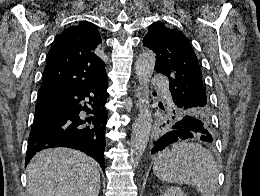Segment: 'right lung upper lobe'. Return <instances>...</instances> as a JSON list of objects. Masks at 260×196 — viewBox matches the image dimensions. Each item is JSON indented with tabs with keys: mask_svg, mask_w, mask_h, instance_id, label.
<instances>
[{
	"mask_svg": "<svg viewBox=\"0 0 260 196\" xmlns=\"http://www.w3.org/2000/svg\"><path fill=\"white\" fill-rule=\"evenodd\" d=\"M97 27L84 21L59 34L47 56L37 104L107 78Z\"/></svg>",
	"mask_w": 260,
	"mask_h": 196,
	"instance_id": "obj_1",
	"label": "right lung upper lobe"
}]
</instances>
